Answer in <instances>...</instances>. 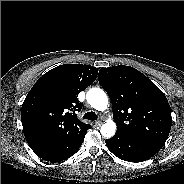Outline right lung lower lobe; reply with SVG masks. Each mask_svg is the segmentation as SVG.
Returning <instances> with one entry per match:
<instances>
[{
	"mask_svg": "<svg viewBox=\"0 0 184 184\" xmlns=\"http://www.w3.org/2000/svg\"><path fill=\"white\" fill-rule=\"evenodd\" d=\"M84 137L85 135L79 137L76 140L56 144L47 148L35 150L34 152L40 158L47 161H62L73 156L79 150L84 140Z\"/></svg>",
	"mask_w": 184,
	"mask_h": 184,
	"instance_id": "1",
	"label": "right lung lower lobe"
}]
</instances>
